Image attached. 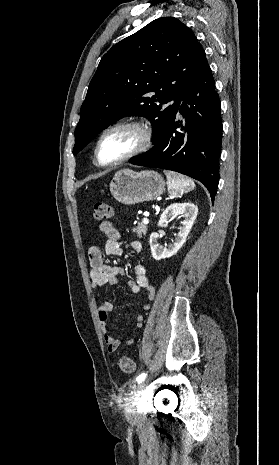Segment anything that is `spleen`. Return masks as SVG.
Returning <instances> with one entry per match:
<instances>
[{
  "label": "spleen",
  "mask_w": 279,
  "mask_h": 465,
  "mask_svg": "<svg viewBox=\"0 0 279 465\" xmlns=\"http://www.w3.org/2000/svg\"><path fill=\"white\" fill-rule=\"evenodd\" d=\"M164 173L167 177L168 191L173 197H179L195 188L194 181L188 177L171 171H165Z\"/></svg>",
  "instance_id": "obj_1"
}]
</instances>
